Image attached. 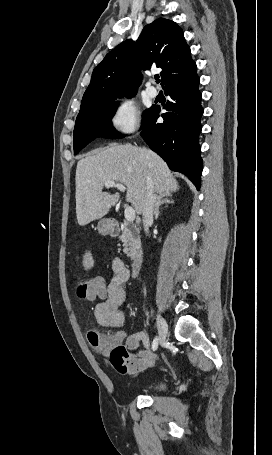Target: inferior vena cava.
<instances>
[{"label":"inferior vena cava","mask_w":272,"mask_h":455,"mask_svg":"<svg viewBox=\"0 0 272 455\" xmlns=\"http://www.w3.org/2000/svg\"><path fill=\"white\" fill-rule=\"evenodd\" d=\"M156 202V195L154 191L153 181L151 176L147 177V195L144 202L142 211L144 230L148 233L149 225L153 222V211Z\"/></svg>","instance_id":"1"}]
</instances>
